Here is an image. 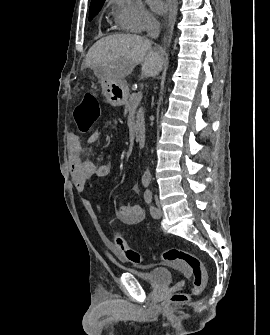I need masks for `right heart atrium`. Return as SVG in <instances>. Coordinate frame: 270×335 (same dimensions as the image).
Returning <instances> with one entry per match:
<instances>
[{
    "label": "right heart atrium",
    "mask_w": 270,
    "mask_h": 335,
    "mask_svg": "<svg viewBox=\"0 0 270 335\" xmlns=\"http://www.w3.org/2000/svg\"><path fill=\"white\" fill-rule=\"evenodd\" d=\"M116 23L126 31L141 33L142 25H158L139 0H112Z\"/></svg>",
    "instance_id": "right-heart-atrium-1"
}]
</instances>
